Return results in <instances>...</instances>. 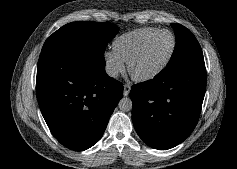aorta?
<instances>
[{
  "mask_svg": "<svg viewBox=\"0 0 237 169\" xmlns=\"http://www.w3.org/2000/svg\"><path fill=\"white\" fill-rule=\"evenodd\" d=\"M118 107L122 112H129L132 110L133 103L130 98L124 97L119 101Z\"/></svg>",
  "mask_w": 237,
  "mask_h": 169,
  "instance_id": "obj_1",
  "label": "aorta"
}]
</instances>
